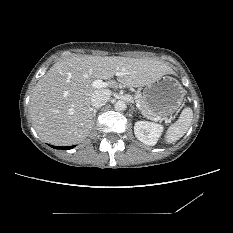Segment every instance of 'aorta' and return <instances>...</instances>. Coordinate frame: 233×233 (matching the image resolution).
Returning a JSON list of instances; mask_svg holds the SVG:
<instances>
[{
  "mask_svg": "<svg viewBox=\"0 0 233 233\" xmlns=\"http://www.w3.org/2000/svg\"><path fill=\"white\" fill-rule=\"evenodd\" d=\"M126 103L123 100H118L114 104V108L116 111H124L126 109Z\"/></svg>",
  "mask_w": 233,
  "mask_h": 233,
  "instance_id": "1",
  "label": "aorta"
}]
</instances>
